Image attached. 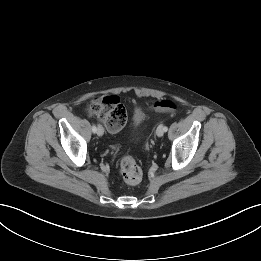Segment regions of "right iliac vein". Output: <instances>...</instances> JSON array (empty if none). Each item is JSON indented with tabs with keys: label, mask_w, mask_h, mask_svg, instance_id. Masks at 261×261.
<instances>
[{
	"label": "right iliac vein",
	"mask_w": 261,
	"mask_h": 261,
	"mask_svg": "<svg viewBox=\"0 0 261 261\" xmlns=\"http://www.w3.org/2000/svg\"><path fill=\"white\" fill-rule=\"evenodd\" d=\"M104 134V129L101 125H98L97 127V135L102 136Z\"/></svg>",
	"instance_id": "1"
}]
</instances>
